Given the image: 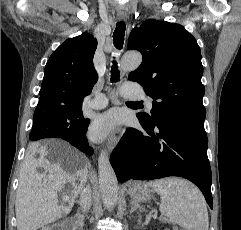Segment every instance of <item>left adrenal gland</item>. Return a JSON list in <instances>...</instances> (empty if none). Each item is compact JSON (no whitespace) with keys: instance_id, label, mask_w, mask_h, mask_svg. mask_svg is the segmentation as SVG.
<instances>
[{"instance_id":"1","label":"left adrenal gland","mask_w":241,"mask_h":230,"mask_svg":"<svg viewBox=\"0 0 241 230\" xmlns=\"http://www.w3.org/2000/svg\"><path fill=\"white\" fill-rule=\"evenodd\" d=\"M131 206H132V208L130 210V213H133L134 211H136L137 209L140 208L139 204L134 201L131 202Z\"/></svg>"}]
</instances>
